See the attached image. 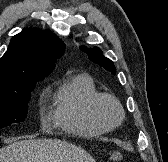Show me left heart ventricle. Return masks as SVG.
Wrapping results in <instances>:
<instances>
[{"instance_id": "left-heart-ventricle-1", "label": "left heart ventricle", "mask_w": 168, "mask_h": 162, "mask_svg": "<svg viewBox=\"0 0 168 162\" xmlns=\"http://www.w3.org/2000/svg\"><path fill=\"white\" fill-rule=\"evenodd\" d=\"M101 110L103 115L105 116V118L110 121V122H114L117 119V110L115 108V106L110 103V102H103L102 106H101Z\"/></svg>"}]
</instances>
